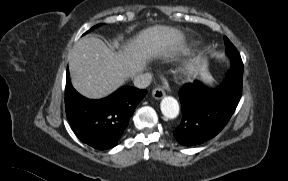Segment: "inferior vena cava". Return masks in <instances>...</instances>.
<instances>
[{
  "instance_id": "602c4592",
  "label": "inferior vena cava",
  "mask_w": 288,
  "mask_h": 181,
  "mask_svg": "<svg viewBox=\"0 0 288 181\" xmlns=\"http://www.w3.org/2000/svg\"><path fill=\"white\" fill-rule=\"evenodd\" d=\"M152 82V75L150 73L139 74L134 77V85L137 88H147Z\"/></svg>"
}]
</instances>
